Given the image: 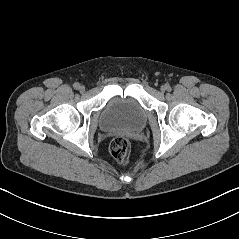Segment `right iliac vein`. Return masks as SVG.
<instances>
[{"label":"right iliac vein","instance_id":"1","mask_svg":"<svg viewBox=\"0 0 239 239\" xmlns=\"http://www.w3.org/2000/svg\"><path fill=\"white\" fill-rule=\"evenodd\" d=\"M79 91H80V92H84V91H85V87H84L83 85L80 86V87H79Z\"/></svg>","mask_w":239,"mask_h":239}]
</instances>
